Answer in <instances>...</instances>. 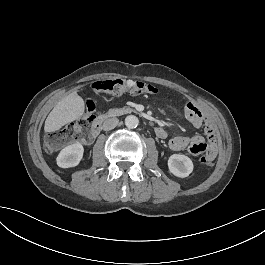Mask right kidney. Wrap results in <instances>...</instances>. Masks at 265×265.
I'll return each instance as SVG.
<instances>
[{
  "instance_id": "1",
  "label": "right kidney",
  "mask_w": 265,
  "mask_h": 265,
  "mask_svg": "<svg viewBox=\"0 0 265 265\" xmlns=\"http://www.w3.org/2000/svg\"><path fill=\"white\" fill-rule=\"evenodd\" d=\"M84 147L80 142H76L64 147L56 158L57 166L63 169L78 166L83 158Z\"/></svg>"
}]
</instances>
